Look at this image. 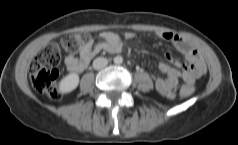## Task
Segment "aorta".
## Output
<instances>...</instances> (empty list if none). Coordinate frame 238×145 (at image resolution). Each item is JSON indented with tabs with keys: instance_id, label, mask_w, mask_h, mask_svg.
I'll return each instance as SVG.
<instances>
[{
	"instance_id": "aorta-1",
	"label": "aorta",
	"mask_w": 238,
	"mask_h": 145,
	"mask_svg": "<svg viewBox=\"0 0 238 145\" xmlns=\"http://www.w3.org/2000/svg\"><path fill=\"white\" fill-rule=\"evenodd\" d=\"M114 63H115V64H122V63H123V58H122V56H116V57L114 58Z\"/></svg>"
}]
</instances>
